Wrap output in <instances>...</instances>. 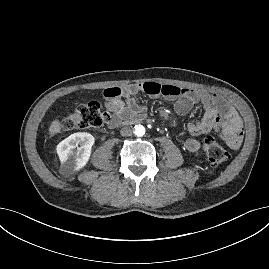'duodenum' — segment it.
I'll return each instance as SVG.
<instances>
[{
    "instance_id": "1",
    "label": "duodenum",
    "mask_w": 269,
    "mask_h": 269,
    "mask_svg": "<svg viewBox=\"0 0 269 269\" xmlns=\"http://www.w3.org/2000/svg\"><path fill=\"white\" fill-rule=\"evenodd\" d=\"M141 121V118H135L128 121H125L126 124L138 123Z\"/></svg>"
}]
</instances>
